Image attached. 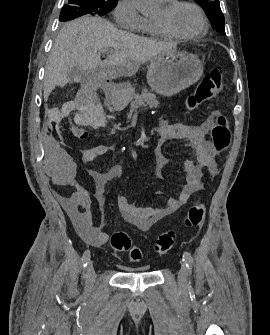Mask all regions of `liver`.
<instances>
[{
    "label": "liver",
    "instance_id": "6515ba94",
    "mask_svg": "<svg viewBox=\"0 0 270 335\" xmlns=\"http://www.w3.org/2000/svg\"><path fill=\"white\" fill-rule=\"evenodd\" d=\"M177 44L156 42L131 32L115 28L111 22L99 16H82L61 28L49 56L44 76V102H47L55 86L70 82V68L79 66L83 72H95L102 68L110 78L135 76L141 64L165 52H176ZM98 50H113L108 66H103Z\"/></svg>",
    "mask_w": 270,
    "mask_h": 335
}]
</instances>
